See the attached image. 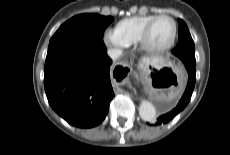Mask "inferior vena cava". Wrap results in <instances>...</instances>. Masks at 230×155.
Instances as JSON below:
<instances>
[{"mask_svg":"<svg viewBox=\"0 0 230 155\" xmlns=\"http://www.w3.org/2000/svg\"><path fill=\"white\" fill-rule=\"evenodd\" d=\"M107 54L112 60H116L121 56L122 50L118 48H110L108 49Z\"/></svg>","mask_w":230,"mask_h":155,"instance_id":"obj_1","label":"inferior vena cava"}]
</instances>
